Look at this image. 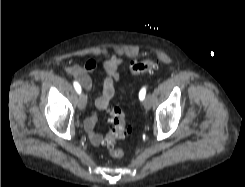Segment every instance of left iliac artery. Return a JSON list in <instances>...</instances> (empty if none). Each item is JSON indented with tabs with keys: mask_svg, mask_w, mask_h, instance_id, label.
Returning a JSON list of instances; mask_svg holds the SVG:
<instances>
[{
	"mask_svg": "<svg viewBox=\"0 0 245 187\" xmlns=\"http://www.w3.org/2000/svg\"><path fill=\"white\" fill-rule=\"evenodd\" d=\"M145 95H146V88L144 87L139 92V99L143 100L145 98Z\"/></svg>",
	"mask_w": 245,
	"mask_h": 187,
	"instance_id": "1",
	"label": "left iliac artery"
}]
</instances>
